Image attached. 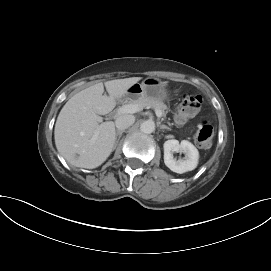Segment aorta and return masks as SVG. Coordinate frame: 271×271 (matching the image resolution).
I'll return each mask as SVG.
<instances>
[{"instance_id":"obj_1","label":"aorta","mask_w":271,"mask_h":271,"mask_svg":"<svg viewBox=\"0 0 271 271\" xmlns=\"http://www.w3.org/2000/svg\"><path fill=\"white\" fill-rule=\"evenodd\" d=\"M155 130V123L152 120H146L140 125V131L145 134H151Z\"/></svg>"}]
</instances>
